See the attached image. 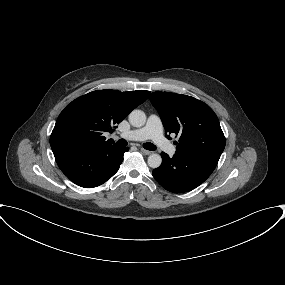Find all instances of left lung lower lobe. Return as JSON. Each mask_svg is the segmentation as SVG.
<instances>
[{"mask_svg": "<svg viewBox=\"0 0 285 285\" xmlns=\"http://www.w3.org/2000/svg\"><path fill=\"white\" fill-rule=\"evenodd\" d=\"M162 164L153 170L156 181L174 193L188 192L202 184L214 171L215 165L175 153L170 158L162 152Z\"/></svg>", "mask_w": 285, "mask_h": 285, "instance_id": "0a47b994", "label": "left lung lower lobe"}]
</instances>
